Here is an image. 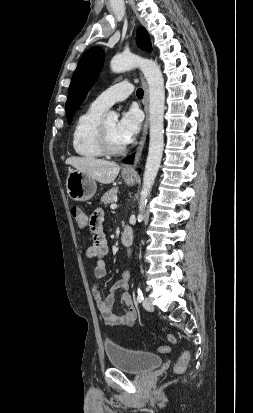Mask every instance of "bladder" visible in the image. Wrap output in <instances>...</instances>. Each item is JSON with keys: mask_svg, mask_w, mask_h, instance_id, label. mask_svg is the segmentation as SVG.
Returning a JSON list of instances; mask_svg holds the SVG:
<instances>
[{"mask_svg": "<svg viewBox=\"0 0 253 413\" xmlns=\"http://www.w3.org/2000/svg\"><path fill=\"white\" fill-rule=\"evenodd\" d=\"M104 351L111 366L130 374L142 375L162 364V358L157 354L129 349L112 342L104 344Z\"/></svg>", "mask_w": 253, "mask_h": 413, "instance_id": "31cf9c89", "label": "bladder"}]
</instances>
